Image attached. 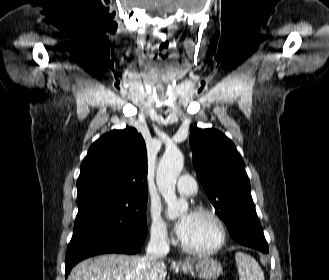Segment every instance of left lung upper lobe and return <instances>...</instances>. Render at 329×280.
I'll return each mask as SVG.
<instances>
[{
	"label": "left lung upper lobe",
	"mask_w": 329,
	"mask_h": 280,
	"mask_svg": "<svg viewBox=\"0 0 329 280\" xmlns=\"http://www.w3.org/2000/svg\"><path fill=\"white\" fill-rule=\"evenodd\" d=\"M190 146L198 177L229 232L235 226L248 224L255 207L245 165L235 145L218 130L194 127Z\"/></svg>",
	"instance_id": "obj_1"
}]
</instances>
